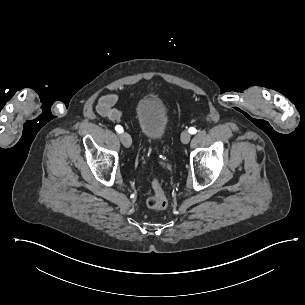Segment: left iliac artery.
<instances>
[{
    "label": "left iliac artery",
    "instance_id": "44dca946",
    "mask_svg": "<svg viewBox=\"0 0 305 305\" xmlns=\"http://www.w3.org/2000/svg\"><path fill=\"white\" fill-rule=\"evenodd\" d=\"M188 131L190 134H196L197 132V130L194 127H190Z\"/></svg>",
    "mask_w": 305,
    "mask_h": 305
}]
</instances>
